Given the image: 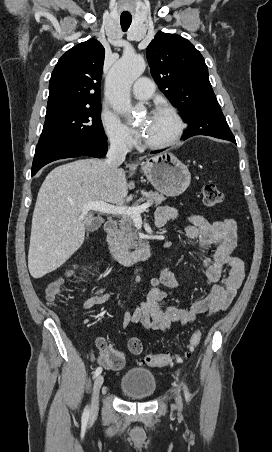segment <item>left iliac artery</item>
Wrapping results in <instances>:
<instances>
[{
  "mask_svg": "<svg viewBox=\"0 0 272 452\" xmlns=\"http://www.w3.org/2000/svg\"><path fill=\"white\" fill-rule=\"evenodd\" d=\"M183 388H184L185 398H186L187 401H189L190 400V394H189V391H188V389H187L185 384H183Z\"/></svg>",
  "mask_w": 272,
  "mask_h": 452,
  "instance_id": "44dca946",
  "label": "left iliac artery"
}]
</instances>
